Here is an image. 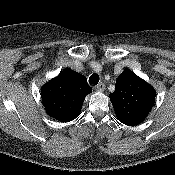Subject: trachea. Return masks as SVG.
<instances>
[{"mask_svg": "<svg viewBox=\"0 0 175 175\" xmlns=\"http://www.w3.org/2000/svg\"><path fill=\"white\" fill-rule=\"evenodd\" d=\"M100 80V77L97 73H93L90 77H89V83L91 85H97L98 82Z\"/></svg>", "mask_w": 175, "mask_h": 175, "instance_id": "3493384b", "label": "trachea"}]
</instances>
